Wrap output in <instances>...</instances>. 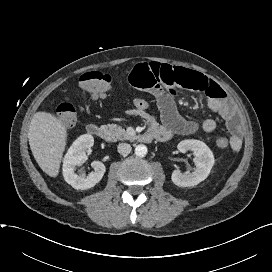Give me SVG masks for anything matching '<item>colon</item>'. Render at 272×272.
I'll list each match as a JSON object with an SVG mask.
<instances>
[{
	"label": "colon",
	"instance_id": "5ec220e1",
	"mask_svg": "<svg viewBox=\"0 0 272 272\" xmlns=\"http://www.w3.org/2000/svg\"><path fill=\"white\" fill-rule=\"evenodd\" d=\"M112 80L110 75L100 71H89L84 73L80 78L81 88L94 99L102 98L111 89ZM134 107L146 110L149 107V102L144 98H136L133 102ZM57 116L62 124L66 127H71L76 122V110L74 106L64 101L57 107ZM219 148L229 147V140L226 137L220 136L216 140Z\"/></svg>",
	"mask_w": 272,
	"mask_h": 272
}]
</instances>
